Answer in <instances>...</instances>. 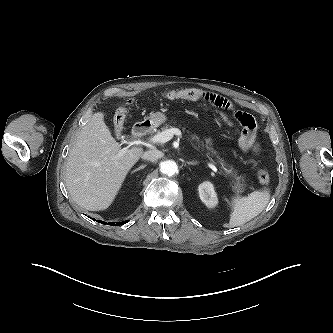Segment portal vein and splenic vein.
<instances>
[{"mask_svg": "<svg viewBox=\"0 0 333 333\" xmlns=\"http://www.w3.org/2000/svg\"><path fill=\"white\" fill-rule=\"evenodd\" d=\"M173 135L181 136V131L177 128L167 129L165 131L157 133L155 136L150 138V142H152V143H166V142H168L169 140H171L173 138ZM208 166L212 170L216 169L215 163L211 160H210V163H209Z\"/></svg>", "mask_w": 333, "mask_h": 333, "instance_id": "18ae733b", "label": "portal vein and splenic vein"}]
</instances>
